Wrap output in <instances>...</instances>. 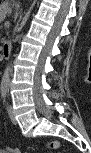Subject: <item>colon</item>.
<instances>
[{
  "label": "colon",
  "instance_id": "1",
  "mask_svg": "<svg viewBox=\"0 0 91 153\" xmlns=\"http://www.w3.org/2000/svg\"><path fill=\"white\" fill-rule=\"evenodd\" d=\"M49 147H51V148H57L58 147V142L57 141H51L49 143Z\"/></svg>",
  "mask_w": 91,
  "mask_h": 153
}]
</instances>
